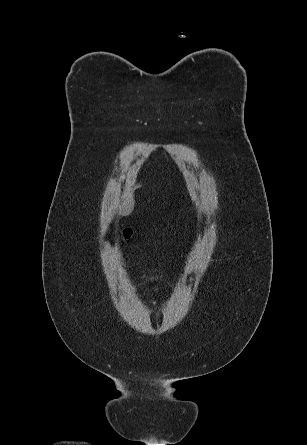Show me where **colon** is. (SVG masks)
Instances as JSON below:
<instances>
[{
    "mask_svg": "<svg viewBox=\"0 0 307 445\" xmlns=\"http://www.w3.org/2000/svg\"><path fill=\"white\" fill-rule=\"evenodd\" d=\"M125 236H128L129 235V230H125Z\"/></svg>",
    "mask_w": 307,
    "mask_h": 445,
    "instance_id": "obj_1",
    "label": "colon"
}]
</instances>
